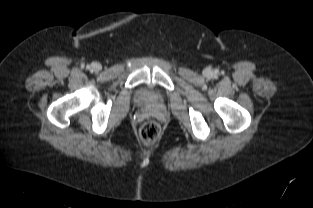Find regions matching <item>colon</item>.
<instances>
[{
    "instance_id": "obj_1",
    "label": "colon",
    "mask_w": 313,
    "mask_h": 208,
    "mask_svg": "<svg viewBox=\"0 0 313 208\" xmlns=\"http://www.w3.org/2000/svg\"><path fill=\"white\" fill-rule=\"evenodd\" d=\"M161 132L159 124L155 121H146L140 127V137L143 142L150 144L157 140Z\"/></svg>"
}]
</instances>
